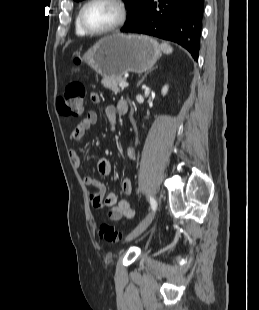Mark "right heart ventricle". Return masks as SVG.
<instances>
[{
  "instance_id": "obj_1",
  "label": "right heart ventricle",
  "mask_w": 259,
  "mask_h": 310,
  "mask_svg": "<svg viewBox=\"0 0 259 310\" xmlns=\"http://www.w3.org/2000/svg\"><path fill=\"white\" fill-rule=\"evenodd\" d=\"M75 33L78 36H86L87 34L83 31V29L81 28L79 21H78V16L76 17L75 20Z\"/></svg>"
}]
</instances>
